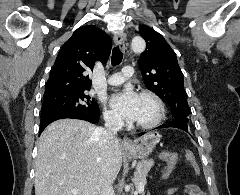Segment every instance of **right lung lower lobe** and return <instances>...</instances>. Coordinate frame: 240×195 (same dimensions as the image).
<instances>
[{"label":"right lung lower lobe","mask_w":240,"mask_h":195,"mask_svg":"<svg viewBox=\"0 0 240 195\" xmlns=\"http://www.w3.org/2000/svg\"><path fill=\"white\" fill-rule=\"evenodd\" d=\"M99 117H100V113H92V112H70V113H61V114L47 116V117L41 118L39 134H41V132L46 128L47 125L59 119L73 118V119L86 120L91 123H97L99 120Z\"/></svg>","instance_id":"98d812e1"}]
</instances>
